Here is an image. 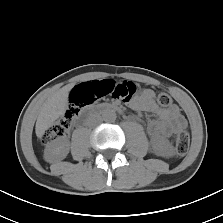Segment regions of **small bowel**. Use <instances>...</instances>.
<instances>
[{
    "instance_id": "c3829d8e",
    "label": "small bowel",
    "mask_w": 223,
    "mask_h": 223,
    "mask_svg": "<svg viewBox=\"0 0 223 223\" xmlns=\"http://www.w3.org/2000/svg\"><path fill=\"white\" fill-rule=\"evenodd\" d=\"M127 102L134 110L152 112L157 116V119H150L147 123L148 133L154 139L169 138L187 126V121L179 108L175 105L160 107L151 89L142 90L140 95Z\"/></svg>"
}]
</instances>
